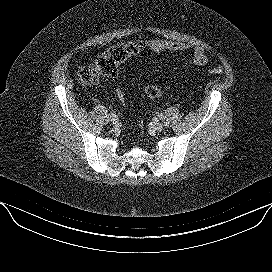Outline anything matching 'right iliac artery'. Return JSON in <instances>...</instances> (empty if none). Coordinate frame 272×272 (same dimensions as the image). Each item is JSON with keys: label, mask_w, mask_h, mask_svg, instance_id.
Returning a JSON list of instances; mask_svg holds the SVG:
<instances>
[{"label": "right iliac artery", "mask_w": 272, "mask_h": 272, "mask_svg": "<svg viewBox=\"0 0 272 272\" xmlns=\"http://www.w3.org/2000/svg\"><path fill=\"white\" fill-rule=\"evenodd\" d=\"M110 117H116L115 113H111Z\"/></svg>", "instance_id": "1"}]
</instances>
